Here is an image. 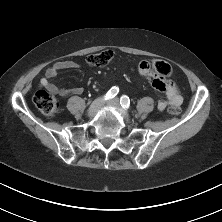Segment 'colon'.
Returning <instances> with one entry per match:
<instances>
[{
	"label": "colon",
	"instance_id": "obj_1",
	"mask_svg": "<svg viewBox=\"0 0 222 222\" xmlns=\"http://www.w3.org/2000/svg\"><path fill=\"white\" fill-rule=\"evenodd\" d=\"M113 55V52L110 50H102L89 55L86 61L91 66L104 67L111 62ZM146 64L151 66L150 70H154L165 79L171 77L172 75V68L166 61L153 60L151 62H146ZM33 101L40 112L47 117H53L58 112V101L54 95L48 91H37L34 95ZM168 111L171 114H178L180 110L178 107L170 105Z\"/></svg>",
	"mask_w": 222,
	"mask_h": 222
}]
</instances>
